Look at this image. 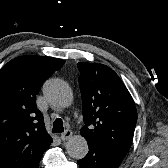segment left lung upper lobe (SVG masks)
Masks as SVG:
<instances>
[{
    "instance_id": "left-lung-upper-lobe-1",
    "label": "left lung upper lobe",
    "mask_w": 168,
    "mask_h": 168,
    "mask_svg": "<svg viewBox=\"0 0 168 168\" xmlns=\"http://www.w3.org/2000/svg\"><path fill=\"white\" fill-rule=\"evenodd\" d=\"M85 126L80 133L87 142L117 154L128 153L137 122V110L126 86L108 66L78 63Z\"/></svg>"
}]
</instances>
